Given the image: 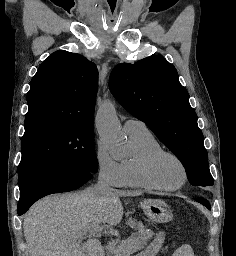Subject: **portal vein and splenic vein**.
Wrapping results in <instances>:
<instances>
[{"label": "portal vein and splenic vein", "instance_id": "18ae733b", "mask_svg": "<svg viewBox=\"0 0 236 256\" xmlns=\"http://www.w3.org/2000/svg\"><path fill=\"white\" fill-rule=\"evenodd\" d=\"M102 230V226H84V228H81L78 240L81 242V240H83L87 234H101Z\"/></svg>", "mask_w": 236, "mask_h": 256}]
</instances>
